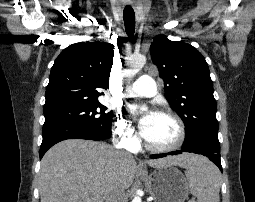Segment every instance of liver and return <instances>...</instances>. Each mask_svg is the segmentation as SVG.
<instances>
[{
	"label": "liver",
	"instance_id": "liver-1",
	"mask_svg": "<svg viewBox=\"0 0 255 202\" xmlns=\"http://www.w3.org/2000/svg\"><path fill=\"white\" fill-rule=\"evenodd\" d=\"M196 158L185 153L145 163L154 168H187ZM135 175L136 161L127 153L103 142L64 140L49 149L41 160V202H104L111 188L128 189Z\"/></svg>",
	"mask_w": 255,
	"mask_h": 202
}]
</instances>
